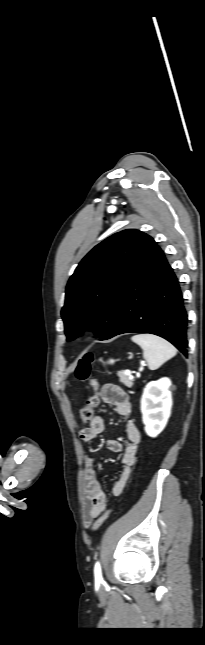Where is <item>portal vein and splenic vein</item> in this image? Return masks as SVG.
Masks as SVG:
<instances>
[{
  "mask_svg": "<svg viewBox=\"0 0 205 645\" xmlns=\"http://www.w3.org/2000/svg\"><path fill=\"white\" fill-rule=\"evenodd\" d=\"M141 369H142V368H140V370H141ZM125 374L130 376V375H131L130 370H126V371H125Z\"/></svg>",
  "mask_w": 205,
  "mask_h": 645,
  "instance_id": "portal-vein-and-splenic-vein-1",
  "label": "portal vein and splenic vein"
}]
</instances>
